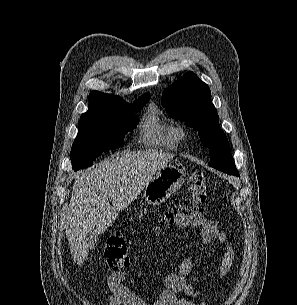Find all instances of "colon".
<instances>
[{"mask_svg": "<svg viewBox=\"0 0 297 305\" xmlns=\"http://www.w3.org/2000/svg\"><path fill=\"white\" fill-rule=\"evenodd\" d=\"M208 196V184L204 172L195 169L189 177L188 196L173 209L164 213L161 218V226H168L175 221L181 212H193L199 209ZM105 265L111 270H120L131 263V257L124 237L117 233L107 239L103 252Z\"/></svg>", "mask_w": 297, "mask_h": 305, "instance_id": "5ec220e1", "label": "colon"}]
</instances>
